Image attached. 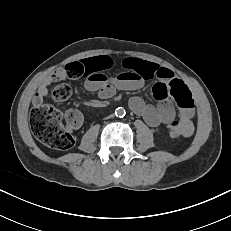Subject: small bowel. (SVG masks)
Returning <instances> with one entry per match:
<instances>
[{"instance_id": "c3829d8e", "label": "small bowel", "mask_w": 231, "mask_h": 231, "mask_svg": "<svg viewBox=\"0 0 231 231\" xmlns=\"http://www.w3.org/2000/svg\"><path fill=\"white\" fill-rule=\"evenodd\" d=\"M76 63L82 66L86 89L98 92L102 99L114 96L118 90L140 89L146 81L155 79L152 95L157 104L151 105L139 97H132L129 100L131 110L141 116L151 127L168 125L176 118V109L171 101L174 100L178 108L179 124L183 135L189 137L193 134L192 120L195 108L192 93L171 70L138 58L116 61L105 55L87 58ZM117 67L121 68V71L115 76L110 77L106 74L107 70ZM65 77V69H60L45 78L34 95L33 103H43L48 88Z\"/></svg>"}]
</instances>
